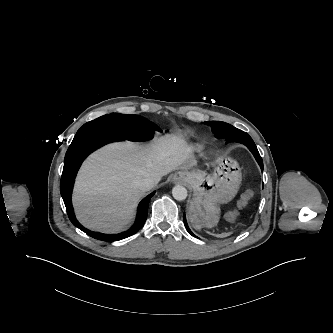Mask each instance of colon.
Returning a JSON list of instances; mask_svg holds the SVG:
<instances>
[{
	"mask_svg": "<svg viewBox=\"0 0 333 333\" xmlns=\"http://www.w3.org/2000/svg\"><path fill=\"white\" fill-rule=\"evenodd\" d=\"M253 196V192L251 190H246L240 197L238 201V208H242L248 204L250 199ZM238 216V211L237 210H231L227 213L226 217L229 221L233 222L236 220Z\"/></svg>",
	"mask_w": 333,
	"mask_h": 333,
	"instance_id": "5ec220e1",
	"label": "colon"
}]
</instances>
